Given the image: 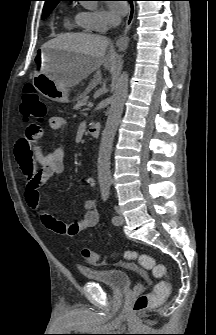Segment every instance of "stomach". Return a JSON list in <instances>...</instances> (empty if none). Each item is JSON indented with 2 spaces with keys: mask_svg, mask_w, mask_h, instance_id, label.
<instances>
[{
  "mask_svg": "<svg viewBox=\"0 0 216 335\" xmlns=\"http://www.w3.org/2000/svg\"><path fill=\"white\" fill-rule=\"evenodd\" d=\"M74 54L68 51L42 47L36 55L40 71L33 83L38 91L48 99L58 103H69V89L59 84L53 75L62 73L71 63Z\"/></svg>",
  "mask_w": 216,
  "mask_h": 335,
  "instance_id": "stomach-1",
  "label": "stomach"
}]
</instances>
